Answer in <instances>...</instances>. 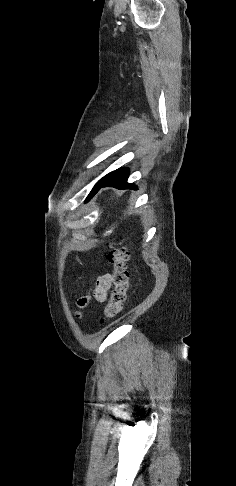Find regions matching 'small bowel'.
<instances>
[{"mask_svg":"<svg viewBox=\"0 0 236 486\" xmlns=\"http://www.w3.org/2000/svg\"><path fill=\"white\" fill-rule=\"evenodd\" d=\"M112 279L110 274H104L98 278L95 286L91 290V296L97 302H105L108 297V292L111 287ZM89 301V297L81 298L78 302L81 308L85 307Z\"/></svg>","mask_w":236,"mask_h":486,"instance_id":"obj_1","label":"small bowel"}]
</instances>
